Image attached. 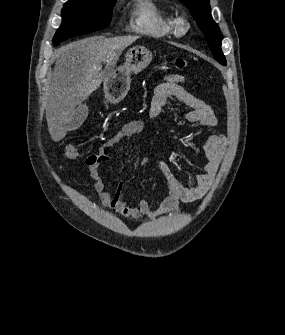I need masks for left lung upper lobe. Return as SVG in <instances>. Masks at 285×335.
<instances>
[{
    "label": "left lung upper lobe",
    "instance_id": "5c2ea615",
    "mask_svg": "<svg viewBox=\"0 0 285 335\" xmlns=\"http://www.w3.org/2000/svg\"><path fill=\"white\" fill-rule=\"evenodd\" d=\"M189 8L195 18L198 27L204 33L210 50L215 59L222 65H226L225 56L221 50L220 28L211 16L209 0H181Z\"/></svg>",
    "mask_w": 285,
    "mask_h": 335
}]
</instances>
